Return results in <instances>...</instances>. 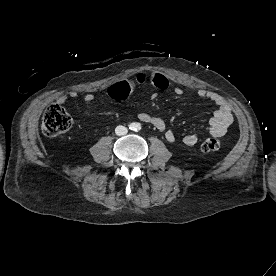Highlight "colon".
I'll return each mask as SVG.
<instances>
[{
    "mask_svg": "<svg viewBox=\"0 0 276 276\" xmlns=\"http://www.w3.org/2000/svg\"><path fill=\"white\" fill-rule=\"evenodd\" d=\"M72 126L70 114L59 104L50 105L42 118V131L46 136L54 137L67 132ZM221 148V141L217 138H207L203 141V152H215Z\"/></svg>",
    "mask_w": 276,
    "mask_h": 276,
    "instance_id": "colon-1",
    "label": "colon"
}]
</instances>
